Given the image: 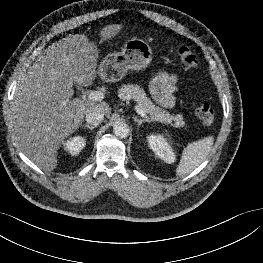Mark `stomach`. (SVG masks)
I'll return each instance as SVG.
<instances>
[{
  "label": "stomach",
  "mask_w": 263,
  "mask_h": 263,
  "mask_svg": "<svg viewBox=\"0 0 263 263\" xmlns=\"http://www.w3.org/2000/svg\"><path fill=\"white\" fill-rule=\"evenodd\" d=\"M149 44L139 38H132L118 53L108 54L99 64L98 74L107 82L120 81L128 70L146 69L153 59Z\"/></svg>",
  "instance_id": "0dacf381"
}]
</instances>
